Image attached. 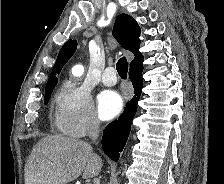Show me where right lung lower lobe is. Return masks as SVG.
<instances>
[{
  "label": "right lung lower lobe",
  "mask_w": 224,
  "mask_h": 184,
  "mask_svg": "<svg viewBox=\"0 0 224 184\" xmlns=\"http://www.w3.org/2000/svg\"><path fill=\"white\" fill-rule=\"evenodd\" d=\"M143 66L130 69L129 78L133 84L135 95L126 104L125 110L118 120L110 123L103 131L102 148L111 159L118 161L121 152L128 139L132 120L137 111V104L142 93Z\"/></svg>",
  "instance_id": "right-lung-lower-lobe-1"
}]
</instances>
